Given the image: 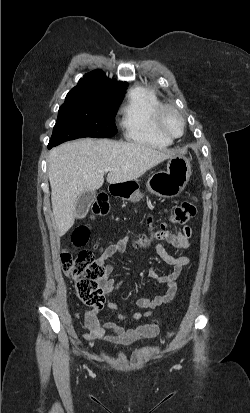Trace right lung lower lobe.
I'll return each instance as SVG.
<instances>
[{
    "mask_svg": "<svg viewBox=\"0 0 250 413\" xmlns=\"http://www.w3.org/2000/svg\"><path fill=\"white\" fill-rule=\"evenodd\" d=\"M52 147H54V146H48L49 149H51Z\"/></svg>",
    "mask_w": 250,
    "mask_h": 413,
    "instance_id": "right-lung-lower-lobe-1",
    "label": "right lung lower lobe"
}]
</instances>
